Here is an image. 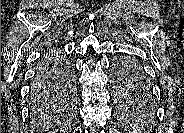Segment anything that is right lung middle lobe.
Here are the masks:
<instances>
[{
	"label": "right lung middle lobe",
	"mask_w": 184,
	"mask_h": 133,
	"mask_svg": "<svg viewBox=\"0 0 184 133\" xmlns=\"http://www.w3.org/2000/svg\"><path fill=\"white\" fill-rule=\"evenodd\" d=\"M73 85L70 63L57 53L45 55L38 66V77L31 89L30 108L40 116L65 103ZM67 101V100H66Z\"/></svg>",
	"instance_id": "obj_1"
}]
</instances>
